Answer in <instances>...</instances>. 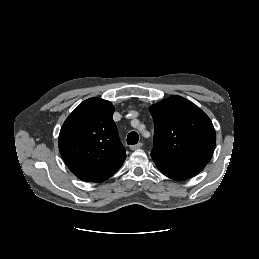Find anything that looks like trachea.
Returning a JSON list of instances; mask_svg holds the SVG:
<instances>
[{
	"mask_svg": "<svg viewBox=\"0 0 259 259\" xmlns=\"http://www.w3.org/2000/svg\"><path fill=\"white\" fill-rule=\"evenodd\" d=\"M138 140H139V135L135 131L130 132L128 134V136H127V143H128V145L137 144Z\"/></svg>",
	"mask_w": 259,
	"mask_h": 259,
	"instance_id": "trachea-1",
	"label": "trachea"
}]
</instances>
